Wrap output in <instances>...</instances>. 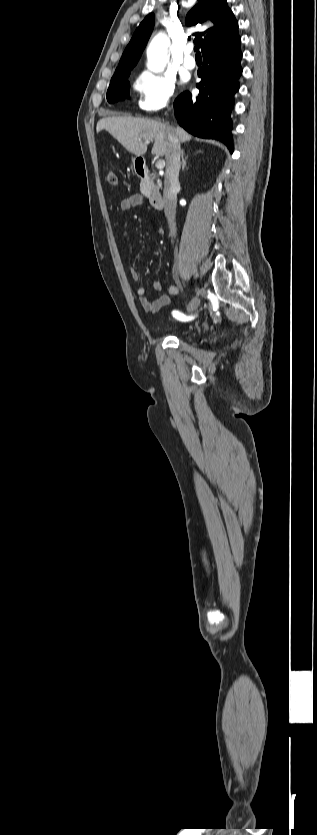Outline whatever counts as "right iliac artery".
<instances>
[{
	"instance_id": "82829eb1",
	"label": "right iliac artery",
	"mask_w": 317,
	"mask_h": 835,
	"mask_svg": "<svg viewBox=\"0 0 317 835\" xmlns=\"http://www.w3.org/2000/svg\"><path fill=\"white\" fill-rule=\"evenodd\" d=\"M172 313H173L174 317L182 319V320H192V319H194V316H186L183 313H181L179 311H176V310L173 311Z\"/></svg>"
}]
</instances>
